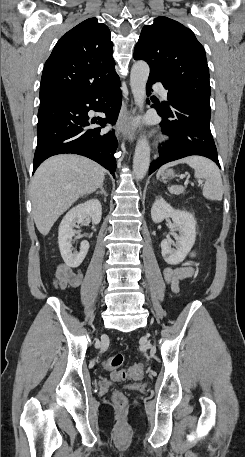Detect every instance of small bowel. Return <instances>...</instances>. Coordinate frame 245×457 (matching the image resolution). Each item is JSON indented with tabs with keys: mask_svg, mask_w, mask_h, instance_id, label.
Here are the masks:
<instances>
[{
	"mask_svg": "<svg viewBox=\"0 0 245 457\" xmlns=\"http://www.w3.org/2000/svg\"><path fill=\"white\" fill-rule=\"evenodd\" d=\"M194 253H192V256ZM195 273V269L190 265L167 267L163 275L166 283L170 286L173 292L179 291V284L182 280L191 278ZM83 279V274L80 270H73L65 264H59L53 271V283L59 289L67 287L80 286Z\"/></svg>",
	"mask_w": 245,
	"mask_h": 457,
	"instance_id": "obj_1",
	"label": "small bowel"
}]
</instances>
